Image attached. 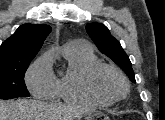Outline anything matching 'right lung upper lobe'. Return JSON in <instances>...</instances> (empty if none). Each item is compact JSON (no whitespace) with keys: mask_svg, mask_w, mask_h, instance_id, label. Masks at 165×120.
Segmentation results:
<instances>
[{"mask_svg":"<svg viewBox=\"0 0 165 120\" xmlns=\"http://www.w3.org/2000/svg\"><path fill=\"white\" fill-rule=\"evenodd\" d=\"M51 27L45 24H23L0 46V61L33 59L40 50Z\"/></svg>","mask_w":165,"mask_h":120,"instance_id":"cb5924a9","label":"right lung upper lobe"}]
</instances>
